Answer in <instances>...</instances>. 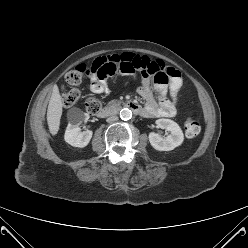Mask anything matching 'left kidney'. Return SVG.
<instances>
[{"mask_svg":"<svg viewBox=\"0 0 248 248\" xmlns=\"http://www.w3.org/2000/svg\"><path fill=\"white\" fill-rule=\"evenodd\" d=\"M156 125L170 132L166 138H162L155 132L149 133L151 146L158 151H171L183 143L184 135L180 126L170 119H158Z\"/></svg>","mask_w":248,"mask_h":248,"instance_id":"obj_1","label":"left kidney"}]
</instances>
